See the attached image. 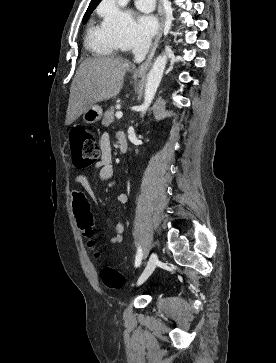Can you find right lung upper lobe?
Masks as SVG:
<instances>
[{
    "instance_id": "right-lung-upper-lobe-1",
    "label": "right lung upper lobe",
    "mask_w": 276,
    "mask_h": 363,
    "mask_svg": "<svg viewBox=\"0 0 276 363\" xmlns=\"http://www.w3.org/2000/svg\"><path fill=\"white\" fill-rule=\"evenodd\" d=\"M100 2V0H91V2H90V4H89V7H93V6H97L98 5V3ZM88 7V8H89Z\"/></svg>"
}]
</instances>
